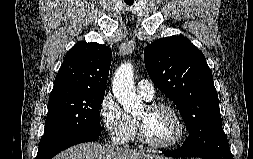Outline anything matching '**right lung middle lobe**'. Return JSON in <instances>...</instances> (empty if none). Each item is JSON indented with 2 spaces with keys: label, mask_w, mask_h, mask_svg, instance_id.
<instances>
[{
  "label": "right lung middle lobe",
  "mask_w": 253,
  "mask_h": 159,
  "mask_svg": "<svg viewBox=\"0 0 253 159\" xmlns=\"http://www.w3.org/2000/svg\"><path fill=\"white\" fill-rule=\"evenodd\" d=\"M105 92H81L49 98L46 129L38 154L59 140L79 132H100L99 109Z\"/></svg>",
  "instance_id": "right-lung-middle-lobe-1"
}]
</instances>
